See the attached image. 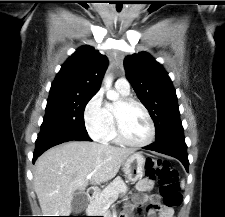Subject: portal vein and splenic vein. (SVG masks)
<instances>
[{"instance_id":"obj_1","label":"portal vein and splenic vein","mask_w":225,"mask_h":217,"mask_svg":"<svg viewBox=\"0 0 225 217\" xmlns=\"http://www.w3.org/2000/svg\"><path fill=\"white\" fill-rule=\"evenodd\" d=\"M91 177H92V174H88L86 178L91 179Z\"/></svg>"}]
</instances>
